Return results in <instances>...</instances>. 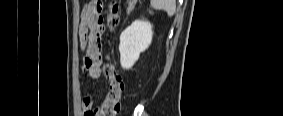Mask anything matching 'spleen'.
I'll return each instance as SVG.
<instances>
[{"label": "spleen", "mask_w": 283, "mask_h": 116, "mask_svg": "<svg viewBox=\"0 0 283 116\" xmlns=\"http://www.w3.org/2000/svg\"><path fill=\"white\" fill-rule=\"evenodd\" d=\"M150 4L153 9L165 11L169 17L176 11L175 0H151Z\"/></svg>", "instance_id": "1"}]
</instances>
